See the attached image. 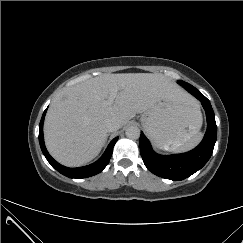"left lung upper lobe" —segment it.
Listing matches in <instances>:
<instances>
[{
	"label": "left lung upper lobe",
	"mask_w": 243,
	"mask_h": 243,
	"mask_svg": "<svg viewBox=\"0 0 243 243\" xmlns=\"http://www.w3.org/2000/svg\"><path fill=\"white\" fill-rule=\"evenodd\" d=\"M180 82H184V81H178V83H180Z\"/></svg>",
	"instance_id": "5c2ea615"
}]
</instances>
